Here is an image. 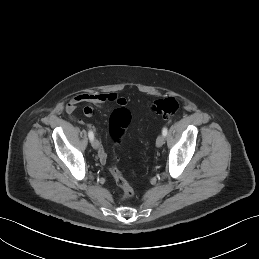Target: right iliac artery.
I'll use <instances>...</instances> for the list:
<instances>
[{
	"label": "right iliac artery",
	"instance_id": "right-iliac-artery-1",
	"mask_svg": "<svg viewBox=\"0 0 259 259\" xmlns=\"http://www.w3.org/2000/svg\"><path fill=\"white\" fill-rule=\"evenodd\" d=\"M88 136L91 141L94 139V134L92 131H89Z\"/></svg>",
	"mask_w": 259,
	"mask_h": 259
}]
</instances>
